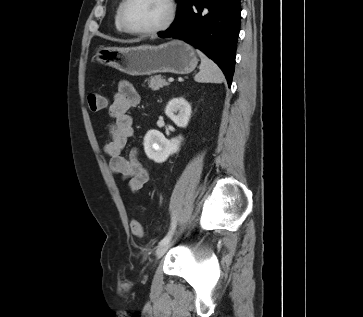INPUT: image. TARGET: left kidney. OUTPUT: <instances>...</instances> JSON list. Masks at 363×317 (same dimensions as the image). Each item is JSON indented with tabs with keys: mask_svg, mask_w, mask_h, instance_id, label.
<instances>
[{
	"mask_svg": "<svg viewBox=\"0 0 363 317\" xmlns=\"http://www.w3.org/2000/svg\"><path fill=\"white\" fill-rule=\"evenodd\" d=\"M165 114L178 127L184 128L188 125L191 116V106L182 97L174 98L168 102ZM182 140V136L168 140L161 132L150 130L144 138V150L149 159L161 163L179 150Z\"/></svg>",
	"mask_w": 363,
	"mask_h": 317,
	"instance_id": "1",
	"label": "left kidney"
}]
</instances>
